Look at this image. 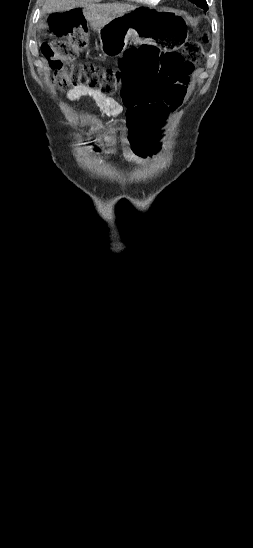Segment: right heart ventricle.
I'll use <instances>...</instances> for the list:
<instances>
[{"mask_svg":"<svg viewBox=\"0 0 253 548\" xmlns=\"http://www.w3.org/2000/svg\"><path fill=\"white\" fill-rule=\"evenodd\" d=\"M132 1H135V2H138V3L147 4V5H156V4H158L161 0H132Z\"/></svg>","mask_w":253,"mask_h":548,"instance_id":"right-heart-ventricle-1","label":"right heart ventricle"}]
</instances>
